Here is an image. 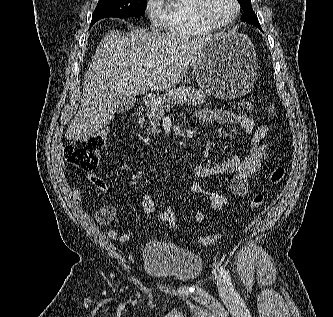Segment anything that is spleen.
<instances>
[{
	"label": "spleen",
	"mask_w": 333,
	"mask_h": 317,
	"mask_svg": "<svg viewBox=\"0 0 333 317\" xmlns=\"http://www.w3.org/2000/svg\"><path fill=\"white\" fill-rule=\"evenodd\" d=\"M270 113H274V105H272L271 107H270V109H269V114Z\"/></svg>",
	"instance_id": "1"
}]
</instances>
